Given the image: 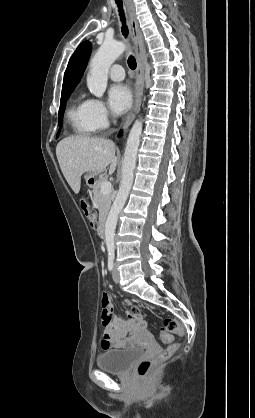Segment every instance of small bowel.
Here are the masks:
<instances>
[{
	"label": "small bowel",
	"mask_w": 255,
	"mask_h": 418,
	"mask_svg": "<svg viewBox=\"0 0 255 418\" xmlns=\"http://www.w3.org/2000/svg\"><path fill=\"white\" fill-rule=\"evenodd\" d=\"M126 304L131 306L129 301ZM102 306V323L104 327L101 339L102 349L126 348L132 345L136 338L148 337L146 323L142 314L135 307H132L128 312V319L114 317L110 321L112 305L108 301L106 294L102 296Z\"/></svg>",
	"instance_id": "small-bowel-1"
}]
</instances>
